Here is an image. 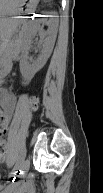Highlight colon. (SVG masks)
I'll use <instances>...</instances> for the list:
<instances>
[{
    "mask_svg": "<svg viewBox=\"0 0 103 193\" xmlns=\"http://www.w3.org/2000/svg\"><path fill=\"white\" fill-rule=\"evenodd\" d=\"M32 102H33V105L35 106L36 104H37V98H33L32 99ZM6 131H5V129L3 128L2 129V133L4 134ZM0 149H1V151H0V155L2 156V157H5V155H6V143H5V141H1V143H0Z\"/></svg>",
    "mask_w": 103,
    "mask_h": 193,
    "instance_id": "5ec220e1",
    "label": "colon"
}]
</instances>
